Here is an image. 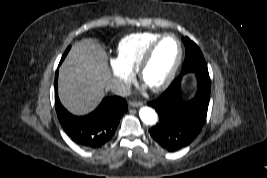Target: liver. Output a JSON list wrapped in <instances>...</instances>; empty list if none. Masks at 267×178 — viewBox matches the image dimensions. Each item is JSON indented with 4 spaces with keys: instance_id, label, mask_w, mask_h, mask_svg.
<instances>
[{
    "instance_id": "6515ba94",
    "label": "liver",
    "mask_w": 267,
    "mask_h": 178,
    "mask_svg": "<svg viewBox=\"0 0 267 178\" xmlns=\"http://www.w3.org/2000/svg\"><path fill=\"white\" fill-rule=\"evenodd\" d=\"M112 82L104 49L92 39H82L72 45L59 69V97L70 112L86 114Z\"/></svg>"
}]
</instances>
